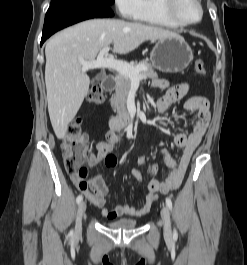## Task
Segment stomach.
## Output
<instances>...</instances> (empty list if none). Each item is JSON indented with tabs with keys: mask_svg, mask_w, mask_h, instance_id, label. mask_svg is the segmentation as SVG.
Listing matches in <instances>:
<instances>
[{
	"mask_svg": "<svg viewBox=\"0 0 247 265\" xmlns=\"http://www.w3.org/2000/svg\"><path fill=\"white\" fill-rule=\"evenodd\" d=\"M193 59V52L180 35L158 39L150 54L152 66L164 73L183 71Z\"/></svg>",
	"mask_w": 247,
	"mask_h": 265,
	"instance_id": "obj_1",
	"label": "stomach"
}]
</instances>
